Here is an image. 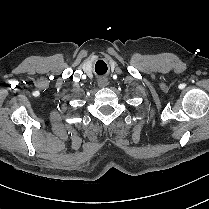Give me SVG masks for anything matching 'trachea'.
I'll use <instances>...</instances> for the list:
<instances>
[{"mask_svg":"<svg viewBox=\"0 0 209 209\" xmlns=\"http://www.w3.org/2000/svg\"><path fill=\"white\" fill-rule=\"evenodd\" d=\"M95 71H96V72H97V74H99V75L103 74V73H101V72H98V71L96 70V68H95Z\"/></svg>","mask_w":209,"mask_h":209,"instance_id":"trachea-1","label":"trachea"}]
</instances>
